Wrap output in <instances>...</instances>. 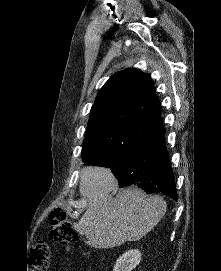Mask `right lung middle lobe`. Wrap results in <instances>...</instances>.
I'll use <instances>...</instances> for the list:
<instances>
[{
  "label": "right lung middle lobe",
  "mask_w": 221,
  "mask_h": 271,
  "mask_svg": "<svg viewBox=\"0 0 221 271\" xmlns=\"http://www.w3.org/2000/svg\"><path fill=\"white\" fill-rule=\"evenodd\" d=\"M146 130L130 127H107L85 134L82 161L85 165L110 167L138 146Z\"/></svg>",
  "instance_id": "right-lung-middle-lobe-1"
}]
</instances>
